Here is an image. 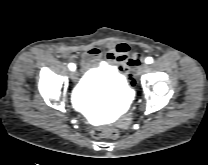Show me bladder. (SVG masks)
<instances>
[{"label": "bladder", "mask_w": 208, "mask_h": 165, "mask_svg": "<svg viewBox=\"0 0 208 165\" xmlns=\"http://www.w3.org/2000/svg\"><path fill=\"white\" fill-rule=\"evenodd\" d=\"M97 91L101 98H111L115 103L128 100L132 94L126 78L107 65L90 70L79 81L75 98L82 107H92V98Z\"/></svg>", "instance_id": "obj_1"}]
</instances>
